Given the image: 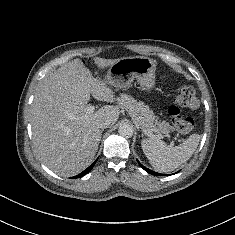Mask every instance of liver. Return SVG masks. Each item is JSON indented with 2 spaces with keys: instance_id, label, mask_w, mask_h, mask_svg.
<instances>
[{
  "instance_id": "obj_1",
  "label": "liver",
  "mask_w": 235,
  "mask_h": 235,
  "mask_svg": "<svg viewBox=\"0 0 235 235\" xmlns=\"http://www.w3.org/2000/svg\"><path fill=\"white\" fill-rule=\"evenodd\" d=\"M117 61L94 59L100 69ZM91 95L100 101H115L106 81L93 78L79 61L66 63L37 85L31 106L34 145L43 163L58 175L72 176L84 170L98 149V125L105 120L115 124L119 118V109L110 105L88 114Z\"/></svg>"
}]
</instances>
